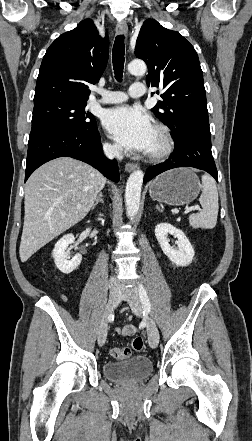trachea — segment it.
Returning a JSON list of instances; mask_svg holds the SVG:
<instances>
[{
	"label": "trachea",
	"instance_id": "1",
	"mask_svg": "<svg viewBox=\"0 0 252 441\" xmlns=\"http://www.w3.org/2000/svg\"><path fill=\"white\" fill-rule=\"evenodd\" d=\"M125 44L124 35H118L115 39L112 51V63L115 74V79L120 82L123 77Z\"/></svg>",
	"mask_w": 252,
	"mask_h": 441
}]
</instances>
